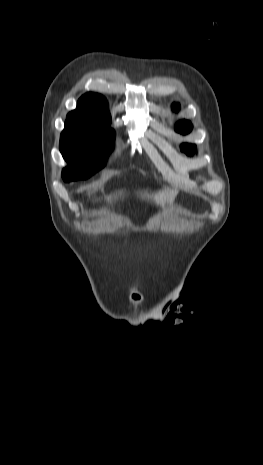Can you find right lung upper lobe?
<instances>
[{
    "instance_id": "right-lung-upper-lobe-1",
    "label": "right lung upper lobe",
    "mask_w": 263,
    "mask_h": 465,
    "mask_svg": "<svg viewBox=\"0 0 263 465\" xmlns=\"http://www.w3.org/2000/svg\"><path fill=\"white\" fill-rule=\"evenodd\" d=\"M67 117L87 118L111 123L107 100L102 95L95 93L83 95L77 103L76 110L70 112Z\"/></svg>"
}]
</instances>
